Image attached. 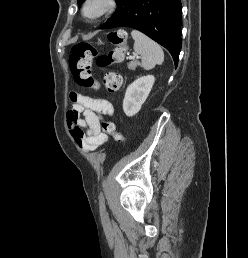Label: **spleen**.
I'll return each mask as SVG.
<instances>
[{"label":"spleen","instance_id":"3e777b00","mask_svg":"<svg viewBox=\"0 0 248 258\" xmlns=\"http://www.w3.org/2000/svg\"><path fill=\"white\" fill-rule=\"evenodd\" d=\"M131 35L134 39L133 49L142 56L141 66L144 69L150 70L164 61L163 50L155 41L138 30H133Z\"/></svg>","mask_w":248,"mask_h":258}]
</instances>
